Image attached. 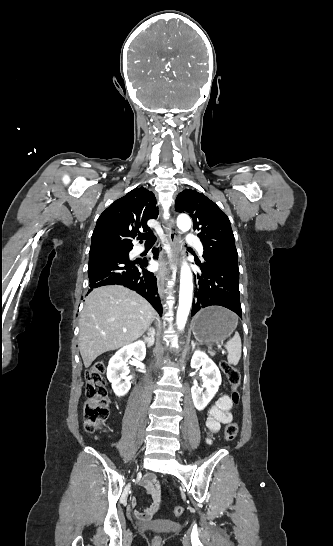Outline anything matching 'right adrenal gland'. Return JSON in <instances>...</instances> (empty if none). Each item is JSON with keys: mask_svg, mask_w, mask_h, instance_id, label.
I'll list each match as a JSON object with an SVG mask.
<instances>
[{"mask_svg": "<svg viewBox=\"0 0 333 546\" xmlns=\"http://www.w3.org/2000/svg\"><path fill=\"white\" fill-rule=\"evenodd\" d=\"M155 335H156V332L154 328H150L148 336L143 335V339L145 343L147 344V347H152L154 345Z\"/></svg>", "mask_w": 333, "mask_h": 546, "instance_id": "2a0ac1e0", "label": "right adrenal gland"}]
</instances>
